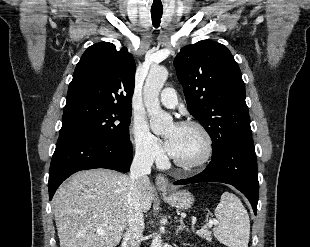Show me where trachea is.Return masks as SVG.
Instances as JSON below:
<instances>
[{
	"mask_svg": "<svg viewBox=\"0 0 310 247\" xmlns=\"http://www.w3.org/2000/svg\"><path fill=\"white\" fill-rule=\"evenodd\" d=\"M162 14V10H151L152 23L155 28L159 27Z\"/></svg>",
	"mask_w": 310,
	"mask_h": 247,
	"instance_id": "trachea-1",
	"label": "trachea"
}]
</instances>
